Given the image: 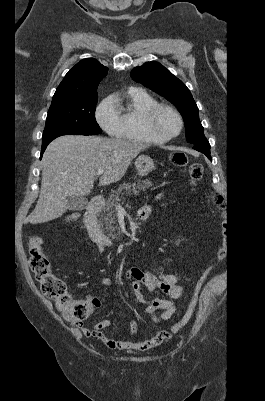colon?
I'll return each mask as SVG.
<instances>
[{
	"instance_id": "5ec220e1",
	"label": "colon",
	"mask_w": 265,
	"mask_h": 401,
	"mask_svg": "<svg viewBox=\"0 0 265 401\" xmlns=\"http://www.w3.org/2000/svg\"><path fill=\"white\" fill-rule=\"evenodd\" d=\"M172 161L174 165L178 167L188 166L190 185L196 184V182L202 178L203 166L197 162L189 164L186 154L177 152L172 156ZM212 199L218 208L221 210L224 209V199L221 195L214 194ZM75 217V215L71 216V218ZM29 246L30 267L37 281L40 283L42 293L49 299L56 301L59 309L63 312L64 317L68 321L74 324H82V322L90 316L94 307L98 305V301L96 299H74L71 296L65 281L52 273L51 263L43 251L42 239L39 236H33L29 241ZM225 253L224 247L219 249L217 254L219 261L224 259ZM210 271L211 268L204 271L197 280L192 300L189 303L182 320L174 325L170 331H166V336L168 338L171 337L172 333H176L190 321L195 309L197 294L206 281Z\"/></svg>"
}]
</instances>
